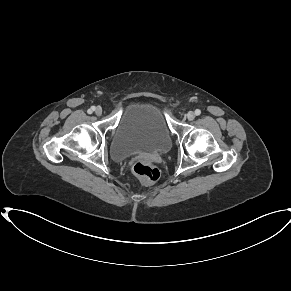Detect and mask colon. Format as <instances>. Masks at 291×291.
I'll use <instances>...</instances> for the list:
<instances>
[{
  "mask_svg": "<svg viewBox=\"0 0 291 291\" xmlns=\"http://www.w3.org/2000/svg\"><path fill=\"white\" fill-rule=\"evenodd\" d=\"M133 172L146 184H152L159 179V170L145 162L138 161L133 165Z\"/></svg>",
  "mask_w": 291,
  "mask_h": 291,
  "instance_id": "colon-1",
  "label": "colon"
}]
</instances>
